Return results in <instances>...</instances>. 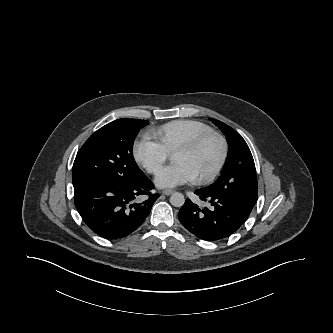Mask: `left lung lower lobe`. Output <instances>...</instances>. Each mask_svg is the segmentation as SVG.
Segmentation results:
<instances>
[{"label":"left lung lower lobe","mask_w":333,"mask_h":333,"mask_svg":"<svg viewBox=\"0 0 333 333\" xmlns=\"http://www.w3.org/2000/svg\"><path fill=\"white\" fill-rule=\"evenodd\" d=\"M195 194L208 204V208H199L191 200H186L178 218L190 233L202 240L216 241L230 236L252 211L218 191L202 188Z\"/></svg>","instance_id":"obj_1"}]
</instances>
